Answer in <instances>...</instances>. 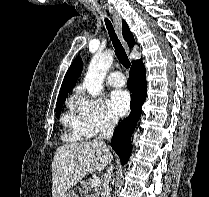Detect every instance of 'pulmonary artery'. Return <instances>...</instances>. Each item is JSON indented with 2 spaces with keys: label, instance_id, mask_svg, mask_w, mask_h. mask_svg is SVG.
<instances>
[{
  "label": "pulmonary artery",
  "instance_id": "obj_1",
  "mask_svg": "<svg viewBox=\"0 0 209 197\" xmlns=\"http://www.w3.org/2000/svg\"><path fill=\"white\" fill-rule=\"evenodd\" d=\"M107 83L113 87H120L125 85L126 79L122 72L120 71H113L110 73L107 79Z\"/></svg>",
  "mask_w": 209,
  "mask_h": 197
}]
</instances>
